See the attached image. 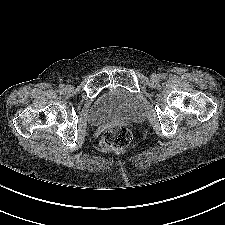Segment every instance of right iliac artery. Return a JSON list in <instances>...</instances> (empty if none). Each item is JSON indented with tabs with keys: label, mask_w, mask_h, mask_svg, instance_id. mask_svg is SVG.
I'll use <instances>...</instances> for the list:
<instances>
[{
	"label": "right iliac artery",
	"mask_w": 225,
	"mask_h": 225,
	"mask_svg": "<svg viewBox=\"0 0 225 225\" xmlns=\"http://www.w3.org/2000/svg\"><path fill=\"white\" fill-rule=\"evenodd\" d=\"M64 89H65V86H64L63 84H61V85L59 86V91H60V92H63Z\"/></svg>",
	"instance_id": "1"
}]
</instances>
